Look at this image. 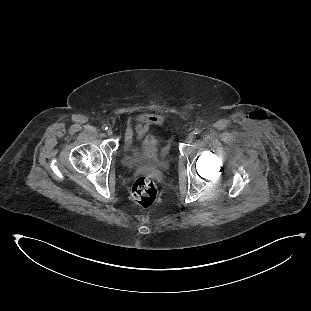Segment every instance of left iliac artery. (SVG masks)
Wrapping results in <instances>:
<instances>
[{"instance_id": "44dca946", "label": "left iliac artery", "mask_w": 311, "mask_h": 311, "mask_svg": "<svg viewBox=\"0 0 311 311\" xmlns=\"http://www.w3.org/2000/svg\"><path fill=\"white\" fill-rule=\"evenodd\" d=\"M200 133H201V131H200L199 129H195V130H194V134H195V135H199Z\"/></svg>"}]
</instances>
